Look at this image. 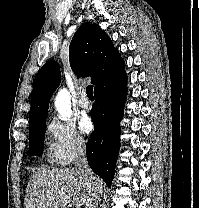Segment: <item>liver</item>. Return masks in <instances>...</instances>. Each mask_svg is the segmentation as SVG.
Wrapping results in <instances>:
<instances>
[{
  "label": "liver",
  "mask_w": 199,
  "mask_h": 208,
  "mask_svg": "<svg viewBox=\"0 0 199 208\" xmlns=\"http://www.w3.org/2000/svg\"><path fill=\"white\" fill-rule=\"evenodd\" d=\"M103 181H90L74 168L37 169L30 177L25 208H65L71 201L76 208L86 205L92 194L100 195Z\"/></svg>",
  "instance_id": "obj_1"
}]
</instances>
